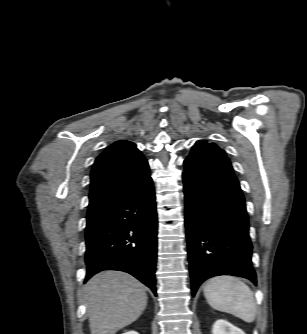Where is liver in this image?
<instances>
[{
    "instance_id": "1",
    "label": "liver",
    "mask_w": 307,
    "mask_h": 334,
    "mask_svg": "<svg viewBox=\"0 0 307 334\" xmlns=\"http://www.w3.org/2000/svg\"><path fill=\"white\" fill-rule=\"evenodd\" d=\"M83 293L91 334H115L136 321L147 305L144 285L119 271L93 276Z\"/></svg>"
}]
</instances>
